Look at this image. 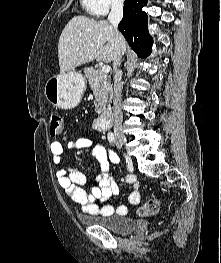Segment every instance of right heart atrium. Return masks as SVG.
<instances>
[{"instance_id": "1", "label": "right heart atrium", "mask_w": 221, "mask_h": 263, "mask_svg": "<svg viewBox=\"0 0 221 263\" xmlns=\"http://www.w3.org/2000/svg\"><path fill=\"white\" fill-rule=\"evenodd\" d=\"M124 0H91V13L97 16L106 15L111 9L122 6Z\"/></svg>"}]
</instances>
